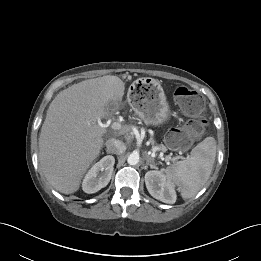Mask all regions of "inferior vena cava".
<instances>
[{"instance_id": "inferior-vena-cava-1", "label": "inferior vena cava", "mask_w": 261, "mask_h": 261, "mask_svg": "<svg viewBox=\"0 0 261 261\" xmlns=\"http://www.w3.org/2000/svg\"><path fill=\"white\" fill-rule=\"evenodd\" d=\"M106 145V151L108 153H112V154H122L125 152L126 150V146L123 142H121L120 140H116L114 138L112 139H108L105 143Z\"/></svg>"}]
</instances>
